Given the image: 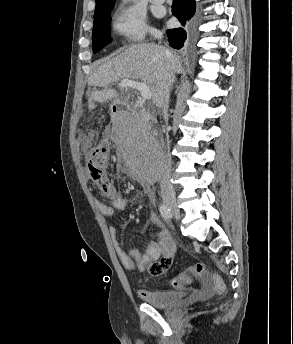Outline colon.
Here are the masks:
<instances>
[{"label":"colon","instance_id":"obj_1","mask_svg":"<svg viewBox=\"0 0 293 344\" xmlns=\"http://www.w3.org/2000/svg\"><path fill=\"white\" fill-rule=\"evenodd\" d=\"M111 144L108 139H102L92 150L88 157V169L94 184L100 189L101 193L109 198L117 196L115 181L108 173L110 163ZM191 276L208 277L215 286V291L222 294L226 286L223 280L216 274H207L205 265L198 263L188 268L184 273L174 278L172 284L181 287L191 280Z\"/></svg>","mask_w":293,"mask_h":344}]
</instances>
